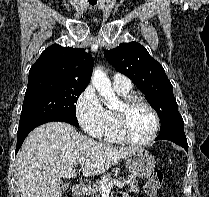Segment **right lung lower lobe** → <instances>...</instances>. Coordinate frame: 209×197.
Returning <instances> with one entry per match:
<instances>
[{"instance_id": "98d812e1", "label": "right lung lower lobe", "mask_w": 209, "mask_h": 197, "mask_svg": "<svg viewBox=\"0 0 209 197\" xmlns=\"http://www.w3.org/2000/svg\"><path fill=\"white\" fill-rule=\"evenodd\" d=\"M52 121H62V122H67L70 123L72 125L73 124L71 121L66 120V119H62V118H55V117H51V118H45V119H40L34 122H30L28 124H25L23 126H19L18 128V132H17V146H16V153L18 152L19 148L21 147L24 139L26 138V136L29 134L30 131H32L34 128H36L37 126L47 123V122H52ZM77 126V125H75Z\"/></svg>"}]
</instances>
